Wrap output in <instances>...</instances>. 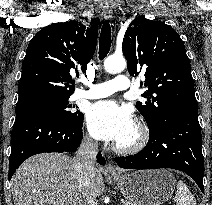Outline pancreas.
I'll return each mask as SVG.
<instances>
[{"label":"pancreas","mask_w":212,"mask_h":205,"mask_svg":"<svg viewBox=\"0 0 212 205\" xmlns=\"http://www.w3.org/2000/svg\"><path fill=\"white\" fill-rule=\"evenodd\" d=\"M125 205H131L129 202L124 201Z\"/></svg>","instance_id":"1"}]
</instances>
